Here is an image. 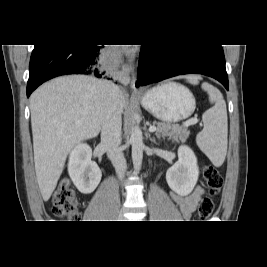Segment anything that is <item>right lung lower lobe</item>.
Here are the masks:
<instances>
[{"label": "right lung lower lobe", "mask_w": 267, "mask_h": 267, "mask_svg": "<svg viewBox=\"0 0 267 267\" xmlns=\"http://www.w3.org/2000/svg\"><path fill=\"white\" fill-rule=\"evenodd\" d=\"M100 45H35L29 65L27 97L42 83L65 74H84L101 78Z\"/></svg>", "instance_id": "98d812e1"}]
</instances>
